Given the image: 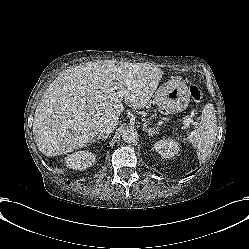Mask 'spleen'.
I'll return each instance as SVG.
<instances>
[{"label":"spleen","instance_id":"obj_1","mask_svg":"<svg viewBox=\"0 0 249 249\" xmlns=\"http://www.w3.org/2000/svg\"><path fill=\"white\" fill-rule=\"evenodd\" d=\"M210 106H207L204 114L202 124L199 128L193 131L187 140L198 150V155L200 158H205L209 153L211 147L214 144V131L216 123L214 122L212 116L208 113Z\"/></svg>","mask_w":249,"mask_h":249}]
</instances>
